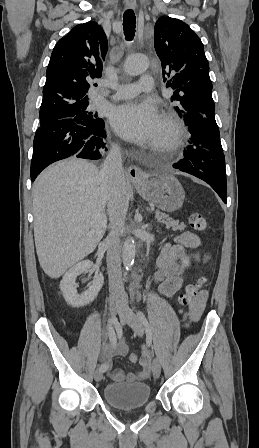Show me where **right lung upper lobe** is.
<instances>
[{"instance_id":"1","label":"right lung upper lobe","mask_w":259,"mask_h":448,"mask_svg":"<svg viewBox=\"0 0 259 448\" xmlns=\"http://www.w3.org/2000/svg\"><path fill=\"white\" fill-rule=\"evenodd\" d=\"M103 28L94 21L75 26L55 45L46 71L39 114L89 105V81L101 77L108 50Z\"/></svg>"}]
</instances>
